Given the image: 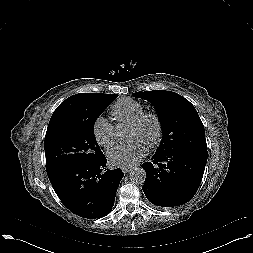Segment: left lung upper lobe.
I'll list each match as a JSON object with an SVG mask.
<instances>
[{
	"label": "left lung upper lobe",
	"instance_id": "5c2ea615",
	"mask_svg": "<svg viewBox=\"0 0 253 253\" xmlns=\"http://www.w3.org/2000/svg\"><path fill=\"white\" fill-rule=\"evenodd\" d=\"M135 97L151 102L162 124V141L156 153L180 145L206 148L205 129L194 106L183 96L165 90L136 92Z\"/></svg>",
	"mask_w": 253,
	"mask_h": 253
}]
</instances>
